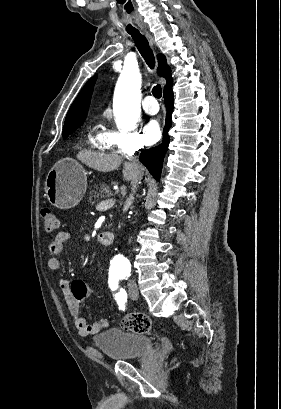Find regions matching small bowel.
<instances>
[{"instance_id": "small-bowel-1", "label": "small bowel", "mask_w": 281, "mask_h": 409, "mask_svg": "<svg viewBox=\"0 0 281 409\" xmlns=\"http://www.w3.org/2000/svg\"><path fill=\"white\" fill-rule=\"evenodd\" d=\"M70 238V231L61 230L50 243L49 252L51 257L48 260V268L50 270L57 271L60 269V260L58 257L64 252V246ZM59 285L63 293L65 306L80 336L95 335L110 328V321L106 318H100L93 323H88L80 314L81 302L96 293L91 285L83 280L70 281L64 276L59 278Z\"/></svg>"}]
</instances>
